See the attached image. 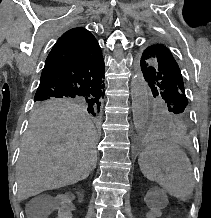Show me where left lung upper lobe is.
<instances>
[{
    "mask_svg": "<svg viewBox=\"0 0 211 218\" xmlns=\"http://www.w3.org/2000/svg\"><path fill=\"white\" fill-rule=\"evenodd\" d=\"M140 66L157 100L152 115L181 136L190 129V113L181 71L167 47L151 44L141 54Z\"/></svg>",
    "mask_w": 211,
    "mask_h": 218,
    "instance_id": "5c2ea615",
    "label": "left lung upper lobe"
}]
</instances>
